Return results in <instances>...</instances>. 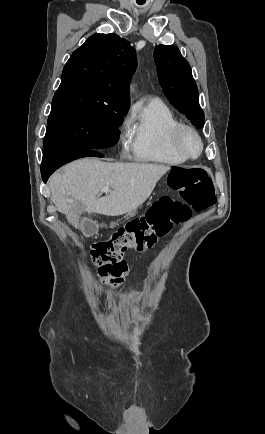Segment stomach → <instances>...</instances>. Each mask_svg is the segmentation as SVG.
Instances as JSON below:
<instances>
[{"label": "stomach", "instance_id": "0dacf381", "mask_svg": "<svg viewBox=\"0 0 265 434\" xmlns=\"http://www.w3.org/2000/svg\"><path fill=\"white\" fill-rule=\"evenodd\" d=\"M134 214H135V210H133V212H129V214H127V216H126L127 220H128V216H129V218H132V216H134Z\"/></svg>", "mask_w": 265, "mask_h": 434}]
</instances>
